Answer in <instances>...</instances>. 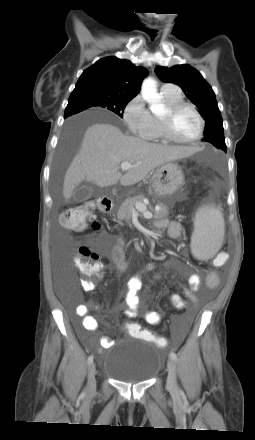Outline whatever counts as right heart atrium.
I'll return each instance as SVG.
<instances>
[{"instance_id":"right-heart-atrium-1","label":"right heart atrium","mask_w":255,"mask_h":440,"mask_svg":"<svg viewBox=\"0 0 255 440\" xmlns=\"http://www.w3.org/2000/svg\"><path fill=\"white\" fill-rule=\"evenodd\" d=\"M123 119L133 134L146 137L153 132L154 118L141 95L133 97L125 106Z\"/></svg>"}]
</instances>
